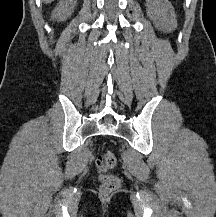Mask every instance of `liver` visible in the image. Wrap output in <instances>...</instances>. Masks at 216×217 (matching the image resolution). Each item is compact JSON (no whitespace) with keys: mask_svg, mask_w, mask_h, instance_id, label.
Listing matches in <instances>:
<instances>
[{"mask_svg":"<svg viewBox=\"0 0 216 217\" xmlns=\"http://www.w3.org/2000/svg\"><path fill=\"white\" fill-rule=\"evenodd\" d=\"M46 4L53 2L54 0H43Z\"/></svg>","mask_w":216,"mask_h":217,"instance_id":"obj_1","label":"liver"}]
</instances>
